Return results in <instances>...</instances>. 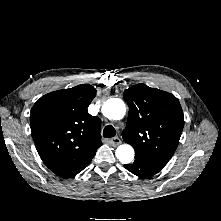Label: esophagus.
Wrapping results in <instances>:
<instances>
[{
    "instance_id": "esophagus-1",
    "label": "esophagus",
    "mask_w": 221,
    "mask_h": 221,
    "mask_svg": "<svg viewBox=\"0 0 221 221\" xmlns=\"http://www.w3.org/2000/svg\"><path fill=\"white\" fill-rule=\"evenodd\" d=\"M110 143L112 146H118L119 144H121V139L119 137H114L110 140Z\"/></svg>"
}]
</instances>
